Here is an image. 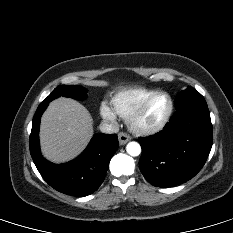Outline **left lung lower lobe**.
I'll return each instance as SVG.
<instances>
[{
	"label": "left lung lower lobe",
	"instance_id": "1",
	"mask_svg": "<svg viewBox=\"0 0 233 233\" xmlns=\"http://www.w3.org/2000/svg\"><path fill=\"white\" fill-rule=\"evenodd\" d=\"M212 140L207 104H189L176 110L162 131L139 138L140 170L148 182L157 187L184 183L205 164Z\"/></svg>",
	"mask_w": 233,
	"mask_h": 233
}]
</instances>
